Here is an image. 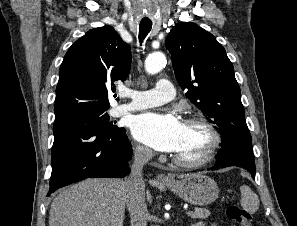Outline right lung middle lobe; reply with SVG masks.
<instances>
[{"instance_id": "obj_1", "label": "right lung middle lobe", "mask_w": 297, "mask_h": 226, "mask_svg": "<svg viewBox=\"0 0 297 226\" xmlns=\"http://www.w3.org/2000/svg\"><path fill=\"white\" fill-rule=\"evenodd\" d=\"M68 119H80L82 121H85L86 123L107 131V132H117V131H123L124 128H118L113 124V122H109V116L106 113V110H90V111H83L74 115H71L67 117Z\"/></svg>"}]
</instances>
